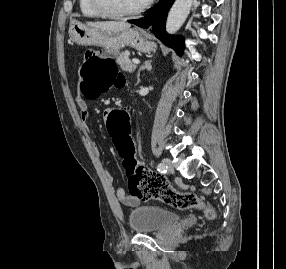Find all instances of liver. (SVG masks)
Masks as SVG:
<instances>
[{
  "mask_svg": "<svg viewBox=\"0 0 286 269\" xmlns=\"http://www.w3.org/2000/svg\"><path fill=\"white\" fill-rule=\"evenodd\" d=\"M89 27L109 31L113 33L122 32L130 29L131 25L124 21H101V22H87Z\"/></svg>",
  "mask_w": 286,
  "mask_h": 269,
  "instance_id": "1",
  "label": "liver"
}]
</instances>
